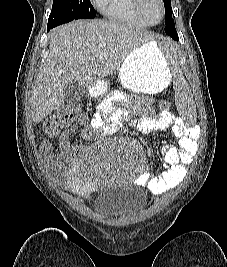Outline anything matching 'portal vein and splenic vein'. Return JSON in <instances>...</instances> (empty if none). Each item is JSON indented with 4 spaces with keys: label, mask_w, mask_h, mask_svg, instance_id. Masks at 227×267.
I'll list each match as a JSON object with an SVG mask.
<instances>
[{
    "label": "portal vein and splenic vein",
    "mask_w": 227,
    "mask_h": 267,
    "mask_svg": "<svg viewBox=\"0 0 227 267\" xmlns=\"http://www.w3.org/2000/svg\"><path fill=\"white\" fill-rule=\"evenodd\" d=\"M91 60L93 61V60H95V58H92Z\"/></svg>",
    "instance_id": "obj_1"
}]
</instances>
